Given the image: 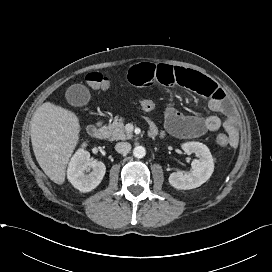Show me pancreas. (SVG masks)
I'll use <instances>...</instances> for the list:
<instances>
[{
  "label": "pancreas",
  "instance_id": "pancreas-1",
  "mask_svg": "<svg viewBox=\"0 0 272 272\" xmlns=\"http://www.w3.org/2000/svg\"><path fill=\"white\" fill-rule=\"evenodd\" d=\"M109 140H126L131 139L133 134L125 130L124 119L116 116L114 121L106 126Z\"/></svg>",
  "mask_w": 272,
  "mask_h": 272
}]
</instances>
